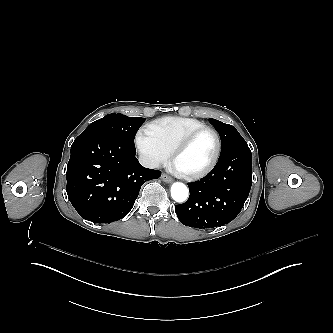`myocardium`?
Masks as SVG:
<instances>
[{
  "label": "myocardium",
  "instance_id": "1",
  "mask_svg": "<svg viewBox=\"0 0 333 333\" xmlns=\"http://www.w3.org/2000/svg\"><path fill=\"white\" fill-rule=\"evenodd\" d=\"M205 131L210 132L215 138V141H216L215 154H214L212 160L209 162V164L207 166H205L204 168H202L196 172H193V173H179L178 174V176H180L181 178H183L185 180H197V179L203 178L204 176L209 174L217 165V163L220 159L221 150H222L221 138H220L219 134L217 133V131L208 126L196 128V129L188 132L187 134H185L174 145V147L171 149V151L168 155L167 163H168V166H171L173 159L178 154H180L183 150H185L197 135H199L200 133L205 132Z\"/></svg>",
  "mask_w": 333,
  "mask_h": 333
}]
</instances>
